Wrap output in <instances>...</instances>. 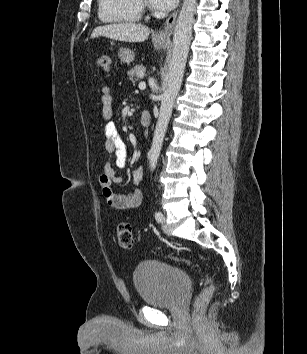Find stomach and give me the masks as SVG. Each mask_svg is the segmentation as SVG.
<instances>
[{"instance_id": "obj_1", "label": "stomach", "mask_w": 307, "mask_h": 354, "mask_svg": "<svg viewBox=\"0 0 307 354\" xmlns=\"http://www.w3.org/2000/svg\"><path fill=\"white\" fill-rule=\"evenodd\" d=\"M154 44L160 48V49H164L167 47L168 45V40L167 39H159V38H155L154 39ZM134 52L128 48H122L119 50L118 52V57L120 59V61L122 63H131L134 59Z\"/></svg>"}]
</instances>
